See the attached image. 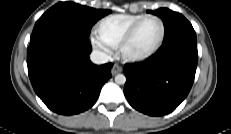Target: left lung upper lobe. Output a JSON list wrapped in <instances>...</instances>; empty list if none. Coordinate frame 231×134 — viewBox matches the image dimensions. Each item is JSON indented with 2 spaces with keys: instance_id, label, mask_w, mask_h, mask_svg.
I'll use <instances>...</instances> for the list:
<instances>
[{
  "instance_id": "left-lung-upper-lobe-1",
  "label": "left lung upper lobe",
  "mask_w": 231,
  "mask_h": 134,
  "mask_svg": "<svg viewBox=\"0 0 231 134\" xmlns=\"http://www.w3.org/2000/svg\"><path fill=\"white\" fill-rule=\"evenodd\" d=\"M148 12L159 16L164 22L165 36L163 43L181 36L196 35L190 22L180 13L167 8Z\"/></svg>"
}]
</instances>
